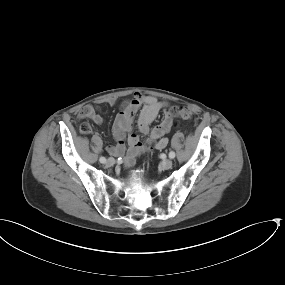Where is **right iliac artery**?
<instances>
[{"label":"right iliac artery","instance_id":"1","mask_svg":"<svg viewBox=\"0 0 285 285\" xmlns=\"http://www.w3.org/2000/svg\"><path fill=\"white\" fill-rule=\"evenodd\" d=\"M119 159H120V158H118V161H119ZM99 161H100L101 163H105V162H106V159H105V157H100Z\"/></svg>","mask_w":285,"mask_h":285}]
</instances>
